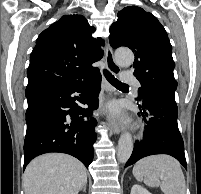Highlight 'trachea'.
I'll list each match as a JSON object with an SVG mask.
<instances>
[{
  "label": "trachea",
  "mask_w": 201,
  "mask_h": 194,
  "mask_svg": "<svg viewBox=\"0 0 201 194\" xmlns=\"http://www.w3.org/2000/svg\"><path fill=\"white\" fill-rule=\"evenodd\" d=\"M104 75L106 79L115 87H126L128 85L120 82L118 79H116L108 70H104Z\"/></svg>",
  "instance_id": "3493384b"
}]
</instances>
